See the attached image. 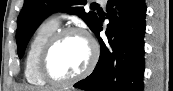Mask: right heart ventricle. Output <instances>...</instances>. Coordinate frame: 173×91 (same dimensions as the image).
<instances>
[{"instance_id":"obj_1","label":"right heart ventricle","mask_w":173,"mask_h":91,"mask_svg":"<svg viewBox=\"0 0 173 91\" xmlns=\"http://www.w3.org/2000/svg\"><path fill=\"white\" fill-rule=\"evenodd\" d=\"M59 21L55 18H47L42 21L31 41L25 58V78L28 83L34 86H44L46 82L39 76L37 61L39 53L47 39L58 30Z\"/></svg>"}]
</instances>
